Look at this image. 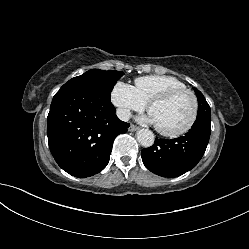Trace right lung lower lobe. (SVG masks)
Returning a JSON list of instances; mask_svg holds the SVG:
<instances>
[{"mask_svg":"<svg viewBox=\"0 0 249 249\" xmlns=\"http://www.w3.org/2000/svg\"><path fill=\"white\" fill-rule=\"evenodd\" d=\"M111 101L91 90L62 86L47 117L50 151L70 175L89 177L108 164L115 137L130 124L118 119Z\"/></svg>","mask_w":249,"mask_h":249,"instance_id":"obj_1","label":"right lung lower lobe"}]
</instances>
